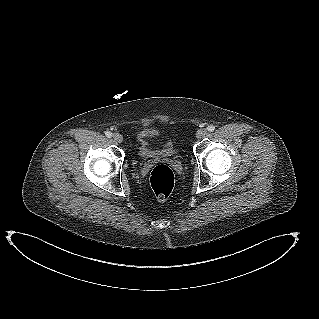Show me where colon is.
Instances as JSON below:
<instances>
[{
	"label": "colon",
	"instance_id": "obj_1",
	"mask_svg": "<svg viewBox=\"0 0 319 319\" xmlns=\"http://www.w3.org/2000/svg\"><path fill=\"white\" fill-rule=\"evenodd\" d=\"M175 183V176L170 167L159 164L153 168L150 174V185L159 199L170 196Z\"/></svg>",
	"mask_w": 319,
	"mask_h": 319
}]
</instances>
